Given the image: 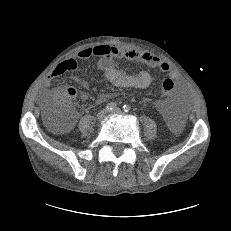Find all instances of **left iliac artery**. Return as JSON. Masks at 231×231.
I'll list each match as a JSON object with an SVG mask.
<instances>
[{
	"instance_id": "obj_1",
	"label": "left iliac artery",
	"mask_w": 231,
	"mask_h": 231,
	"mask_svg": "<svg viewBox=\"0 0 231 231\" xmlns=\"http://www.w3.org/2000/svg\"><path fill=\"white\" fill-rule=\"evenodd\" d=\"M130 109H131V107H130L129 105H124V106H123V110H124L125 112H129Z\"/></svg>"
}]
</instances>
